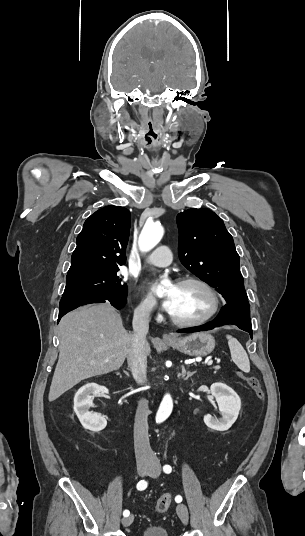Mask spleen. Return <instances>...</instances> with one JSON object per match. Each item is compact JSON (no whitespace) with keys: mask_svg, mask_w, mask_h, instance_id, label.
Listing matches in <instances>:
<instances>
[{"mask_svg":"<svg viewBox=\"0 0 305 536\" xmlns=\"http://www.w3.org/2000/svg\"><path fill=\"white\" fill-rule=\"evenodd\" d=\"M226 338L228 340V346L234 364L238 366L239 370L248 374V372H250V362L243 346H241L238 340L233 338V336H226Z\"/></svg>","mask_w":305,"mask_h":536,"instance_id":"1","label":"spleen"}]
</instances>
